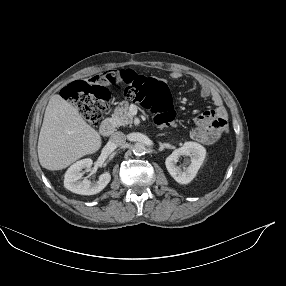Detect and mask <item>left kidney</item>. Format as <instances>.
Segmentation results:
<instances>
[{"label":"left kidney","mask_w":286,"mask_h":286,"mask_svg":"<svg viewBox=\"0 0 286 286\" xmlns=\"http://www.w3.org/2000/svg\"><path fill=\"white\" fill-rule=\"evenodd\" d=\"M191 156L189 166L182 170L177 166L180 156ZM206 156V149L196 142H185L184 145L175 149L165 160V165L170 175L180 184L191 182Z\"/></svg>","instance_id":"1"}]
</instances>
